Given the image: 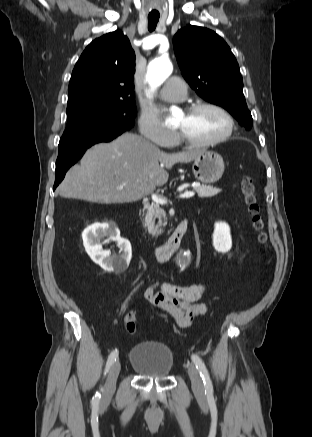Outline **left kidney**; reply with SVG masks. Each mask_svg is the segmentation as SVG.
<instances>
[{"instance_id":"obj_1","label":"left kidney","mask_w":312,"mask_h":437,"mask_svg":"<svg viewBox=\"0 0 312 437\" xmlns=\"http://www.w3.org/2000/svg\"><path fill=\"white\" fill-rule=\"evenodd\" d=\"M213 247L220 253L228 252L232 247L230 227L224 222H217L214 225Z\"/></svg>"}]
</instances>
